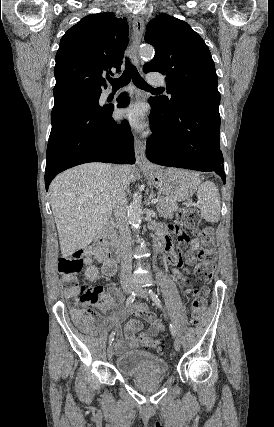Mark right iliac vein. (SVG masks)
I'll use <instances>...</instances> for the list:
<instances>
[{"label": "right iliac vein", "instance_id": "1", "mask_svg": "<svg viewBox=\"0 0 274 427\" xmlns=\"http://www.w3.org/2000/svg\"><path fill=\"white\" fill-rule=\"evenodd\" d=\"M122 288L126 293H130L131 292V286L130 283H128L127 281H122ZM107 355L109 359L113 358L114 355V350L113 347L110 345L108 350H107Z\"/></svg>", "mask_w": 274, "mask_h": 427}]
</instances>
